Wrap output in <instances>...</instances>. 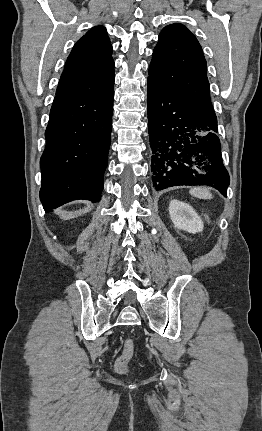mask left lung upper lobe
<instances>
[{"instance_id": "5c2ea615", "label": "left lung upper lobe", "mask_w": 262, "mask_h": 431, "mask_svg": "<svg viewBox=\"0 0 262 431\" xmlns=\"http://www.w3.org/2000/svg\"><path fill=\"white\" fill-rule=\"evenodd\" d=\"M207 64L195 36L181 24L163 28L153 51L148 81L175 94L206 120L217 123Z\"/></svg>"}]
</instances>
